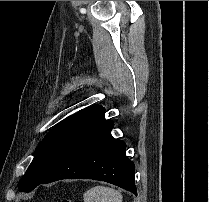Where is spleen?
<instances>
[{
  "label": "spleen",
  "instance_id": "obj_1",
  "mask_svg": "<svg viewBox=\"0 0 209 202\" xmlns=\"http://www.w3.org/2000/svg\"><path fill=\"white\" fill-rule=\"evenodd\" d=\"M84 202H122L119 191L105 186H95L83 195Z\"/></svg>",
  "mask_w": 209,
  "mask_h": 202
}]
</instances>
